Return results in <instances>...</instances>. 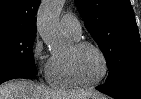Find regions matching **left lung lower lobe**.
<instances>
[{"label":"left lung lower lobe","mask_w":141,"mask_h":99,"mask_svg":"<svg viewBox=\"0 0 141 99\" xmlns=\"http://www.w3.org/2000/svg\"><path fill=\"white\" fill-rule=\"evenodd\" d=\"M96 89L115 99H141V75L122 77Z\"/></svg>","instance_id":"0a47b994"}]
</instances>
